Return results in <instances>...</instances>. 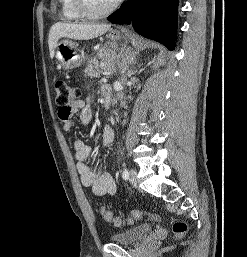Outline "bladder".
Here are the masks:
<instances>
[{
    "label": "bladder",
    "mask_w": 247,
    "mask_h": 257,
    "mask_svg": "<svg viewBox=\"0 0 247 257\" xmlns=\"http://www.w3.org/2000/svg\"><path fill=\"white\" fill-rule=\"evenodd\" d=\"M153 230L150 224H141L131 229L115 233L110 236V241L120 245H134L145 239Z\"/></svg>",
    "instance_id": "31cf9c89"
}]
</instances>
